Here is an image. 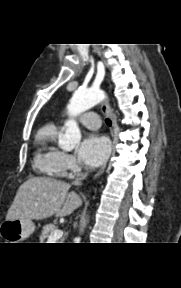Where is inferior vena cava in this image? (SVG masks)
Masks as SVG:
<instances>
[{"mask_svg": "<svg viewBox=\"0 0 181 288\" xmlns=\"http://www.w3.org/2000/svg\"><path fill=\"white\" fill-rule=\"evenodd\" d=\"M87 176V174L83 175L82 177L80 178H77L74 183L77 184V185H81V181Z\"/></svg>", "mask_w": 181, "mask_h": 288, "instance_id": "inferior-vena-cava-1", "label": "inferior vena cava"}]
</instances>
